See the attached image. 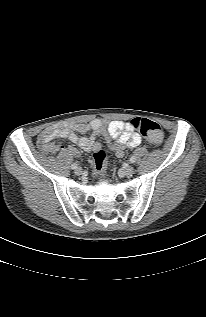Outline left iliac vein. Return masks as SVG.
<instances>
[{"label": "left iliac vein", "instance_id": "4c4485c4", "mask_svg": "<svg viewBox=\"0 0 206 317\" xmlns=\"http://www.w3.org/2000/svg\"><path fill=\"white\" fill-rule=\"evenodd\" d=\"M133 173H134L133 166H128V167H125V168L120 170V175L121 176L130 177V176L133 175Z\"/></svg>", "mask_w": 206, "mask_h": 317}]
</instances>
